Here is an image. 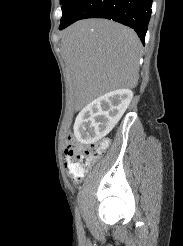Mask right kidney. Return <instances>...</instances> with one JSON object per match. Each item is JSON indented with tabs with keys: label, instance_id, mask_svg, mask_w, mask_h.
Wrapping results in <instances>:
<instances>
[{
	"label": "right kidney",
	"instance_id": "obj_1",
	"mask_svg": "<svg viewBox=\"0 0 183 246\" xmlns=\"http://www.w3.org/2000/svg\"><path fill=\"white\" fill-rule=\"evenodd\" d=\"M133 98L130 89L111 91L88 104L77 116L74 134L83 144H92L109 134Z\"/></svg>",
	"mask_w": 183,
	"mask_h": 246
}]
</instances>
